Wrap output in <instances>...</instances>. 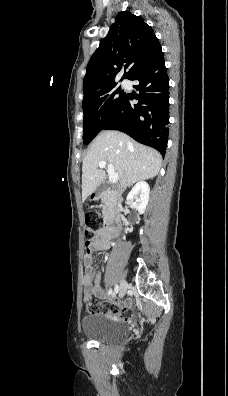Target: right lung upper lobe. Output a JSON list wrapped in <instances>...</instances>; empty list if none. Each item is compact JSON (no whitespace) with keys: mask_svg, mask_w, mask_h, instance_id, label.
I'll use <instances>...</instances> for the list:
<instances>
[{"mask_svg":"<svg viewBox=\"0 0 228 396\" xmlns=\"http://www.w3.org/2000/svg\"><path fill=\"white\" fill-rule=\"evenodd\" d=\"M159 46L153 29L142 18L129 11L120 12L90 58L83 82L84 96L116 84L114 79L122 68L129 67L124 76L132 79Z\"/></svg>","mask_w":228,"mask_h":396,"instance_id":"obj_1","label":"right lung upper lobe"}]
</instances>
